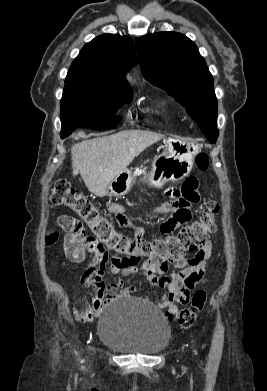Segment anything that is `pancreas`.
<instances>
[{
    "instance_id": "pancreas-1",
    "label": "pancreas",
    "mask_w": 267,
    "mask_h": 391,
    "mask_svg": "<svg viewBox=\"0 0 267 391\" xmlns=\"http://www.w3.org/2000/svg\"><path fill=\"white\" fill-rule=\"evenodd\" d=\"M145 169H146V168H144V169H139V168H137V169L134 171L133 176H138V175H140V174H144V173H145Z\"/></svg>"
}]
</instances>
